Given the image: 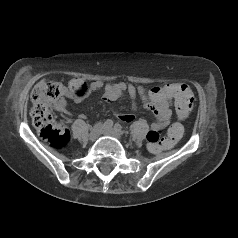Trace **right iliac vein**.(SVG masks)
I'll return each mask as SVG.
<instances>
[{"instance_id": "1", "label": "right iliac vein", "mask_w": 238, "mask_h": 238, "mask_svg": "<svg viewBox=\"0 0 238 238\" xmlns=\"http://www.w3.org/2000/svg\"><path fill=\"white\" fill-rule=\"evenodd\" d=\"M103 131V125L101 123H98L96 124L92 129H91V132L89 134V139L91 141H94L96 140L100 134L102 133Z\"/></svg>"}]
</instances>
